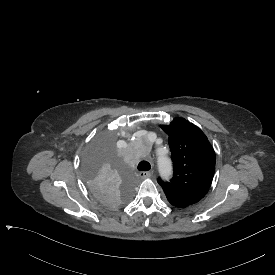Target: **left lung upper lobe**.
I'll use <instances>...</instances> for the list:
<instances>
[{
    "label": "left lung upper lobe",
    "instance_id": "left-lung-upper-lobe-1",
    "mask_svg": "<svg viewBox=\"0 0 275 275\" xmlns=\"http://www.w3.org/2000/svg\"><path fill=\"white\" fill-rule=\"evenodd\" d=\"M169 135L174 175L162 186L175 207H187L201 200L211 185L215 171V152L205 134L184 118L162 125Z\"/></svg>",
    "mask_w": 275,
    "mask_h": 275
}]
</instances>
